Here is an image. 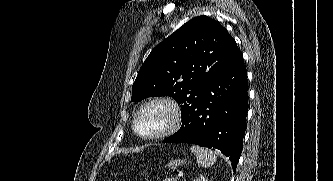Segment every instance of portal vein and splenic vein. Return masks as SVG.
Returning a JSON list of instances; mask_svg holds the SVG:
<instances>
[{
  "instance_id": "1",
  "label": "portal vein and splenic vein",
  "mask_w": 333,
  "mask_h": 181,
  "mask_svg": "<svg viewBox=\"0 0 333 181\" xmlns=\"http://www.w3.org/2000/svg\"><path fill=\"white\" fill-rule=\"evenodd\" d=\"M178 180H179L178 177L173 178V181H178Z\"/></svg>"
}]
</instances>
